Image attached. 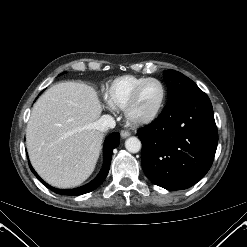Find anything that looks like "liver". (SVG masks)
<instances>
[{
  "label": "liver",
  "mask_w": 247,
  "mask_h": 247,
  "mask_svg": "<svg viewBox=\"0 0 247 247\" xmlns=\"http://www.w3.org/2000/svg\"><path fill=\"white\" fill-rule=\"evenodd\" d=\"M101 111L96 90L79 82L58 83L37 100L26 145L42 179L57 188H71L92 174L103 140L95 127Z\"/></svg>",
  "instance_id": "obj_1"
}]
</instances>
